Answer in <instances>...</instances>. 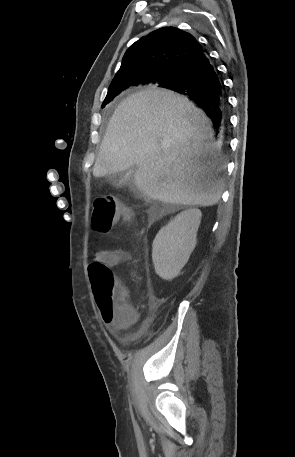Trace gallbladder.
I'll return each instance as SVG.
<instances>
[{"label":"gallbladder","mask_w":295,"mask_h":457,"mask_svg":"<svg viewBox=\"0 0 295 457\" xmlns=\"http://www.w3.org/2000/svg\"><path fill=\"white\" fill-rule=\"evenodd\" d=\"M136 169V166L131 167L127 175H124V173L113 174L110 176V180L113 184L117 186H122L124 184L131 185L133 184V175Z\"/></svg>","instance_id":"gallbladder-1"}]
</instances>
